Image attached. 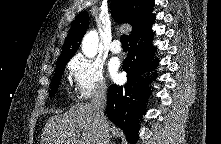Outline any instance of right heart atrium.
<instances>
[{"instance_id":"obj_1","label":"right heart atrium","mask_w":221,"mask_h":144,"mask_svg":"<svg viewBox=\"0 0 221 144\" xmlns=\"http://www.w3.org/2000/svg\"><path fill=\"white\" fill-rule=\"evenodd\" d=\"M68 67L79 99L86 100L106 92L104 70L99 62L83 55H76Z\"/></svg>"}]
</instances>
